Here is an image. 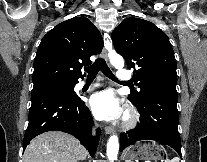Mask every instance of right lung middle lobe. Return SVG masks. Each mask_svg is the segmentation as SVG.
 I'll return each mask as SVG.
<instances>
[{
    "instance_id": "right-lung-middle-lobe-1",
    "label": "right lung middle lobe",
    "mask_w": 207,
    "mask_h": 162,
    "mask_svg": "<svg viewBox=\"0 0 207 162\" xmlns=\"http://www.w3.org/2000/svg\"><path fill=\"white\" fill-rule=\"evenodd\" d=\"M75 84H53L42 87L33 88L32 94L45 92V91H60L66 95H69L73 98H77L74 93Z\"/></svg>"
}]
</instances>
